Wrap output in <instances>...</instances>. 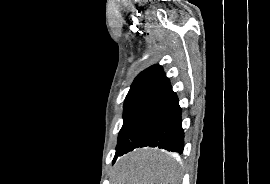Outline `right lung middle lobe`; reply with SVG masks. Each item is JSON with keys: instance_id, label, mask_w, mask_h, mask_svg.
<instances>
[{"instance_id": "obj_1", "label": "right lung middle lobe", "mask_w": 270, "mask_h": 184, "mask_svg": "<svg viewBox=\"0 0 270 184\" xmlns=\"http://www.w3.org/2000/svg\"><path fill=\"white\" fill-rule=\"evenodd\" d=\"M148 99V97H134L130 99H125L123 114L124 123L118 136V144L116 147V154L113 162H115L116 158L118 157L122 144L126 139L133 122L137 118L138 114L140 113Z\"/></svg>"}]
</instances>
